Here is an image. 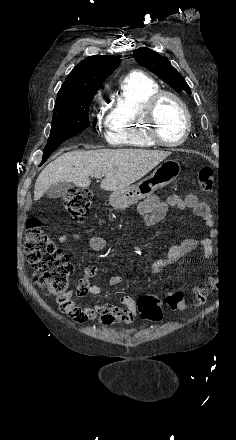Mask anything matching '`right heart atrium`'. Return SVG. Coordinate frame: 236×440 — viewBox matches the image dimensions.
I'll use <instances>...</instances> for the list:
<instances>
[{
	"label": "right heart atrium",
	"mask_w": 236,
	"mask_h": 440,
	"mask_svg": "<svg viewBox=\"0 0 236 440\" xmlns=\"http://www.w3.org/2000/svg\"><path fill=\"white\" fill-rule=\"evenodd\" d=\"M92 117L99 119L101 117V110L99 106H94L92 109Z\"/></svg>",
	"instance_id": "obj_1"
}]
</instances>
